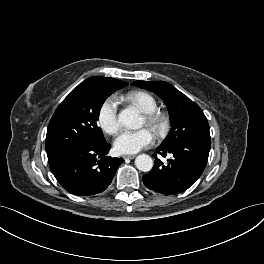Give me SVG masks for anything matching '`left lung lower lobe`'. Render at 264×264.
Wrapping results in <instances>:
<instances>
[{"label": "left lung lower lobe", "instance_id": "0a47b994", "mask_svg": "<svg viewBox=\"0 0 264 264\" xmlns=\"http://www.w3.org/2000/svg\"><path fill=\"white\" fill-rule=\"evenodd\" d=\"M209 151V138L188 139L173 145H160L156 152L163 157L171 154V158L163 164L154 154L155 165L143 176L145 186L166 195L184 192L203 173Z\"/></svg>", "mask_w": 264, "mask_h": 264}]
</instances>
